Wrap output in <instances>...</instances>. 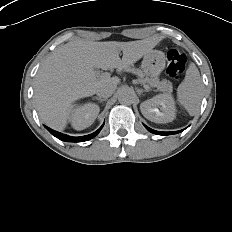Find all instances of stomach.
Returning <instances> with one entry per match:
<instances>
[{"label":"stomach","instance_id":"0dacf381","mask_svg":"<svg viewBox=\"0 0 232 232\" xmlns=\"http://www.w3.org/2000/svg\"><path fill=\"white\" fill-rule=\"evenodd\" d=\"M165 67V55L161 51L151 50L144 56L142 69L145 75L161 71Z\"/></svg>","mask_w":232,"mask_h":232}]
</instances>
